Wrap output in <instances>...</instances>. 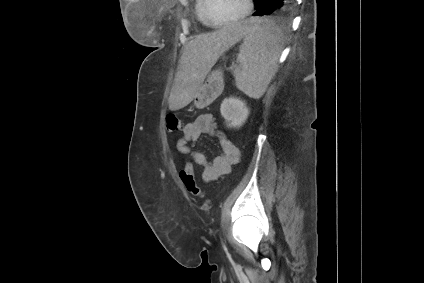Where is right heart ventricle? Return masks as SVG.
<instances>
[{"mask_svg":"<svg viewBox=\"0 0 424 283\" xmlns=\"http://www.w3.org/2000/svg\"><path fill=\"white\" fill-rule=\"evenodd\" d=\"M203 8H204V0H195V5H194L195 16L201 24L207 25L203 16Z\"/></svg>","mask_w":424,"mask_h":283,"instance_id":"obj_1","label":"right heart ventricle"}]
</instances>
